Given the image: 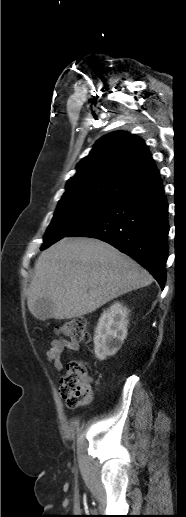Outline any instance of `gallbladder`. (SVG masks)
<instances>
[{
  "label": "gallbladder",
  "mask_w": 186,
  "mask_h": 517,
  "mask_svg": "<svg viewBox=\"0 0 186 517\" xmlns=\"http://www.w3.org/2000/svg\"><path fill=\"white\" fill-rule=\"evenodd\" d=\"M52 308L51 301L47 299L37 300L34 304V311L39 319L47 318L49 311Z\"/></svg>",
  "instance_id": "bac80fb5"
}]
</instances>
